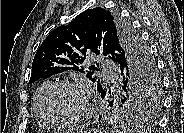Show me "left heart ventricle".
<instances>
[{"mask_svg":"<svg viewBox=\"0 0 184 133\" xmlns=\"http://www.w3.org/2000/svg\"><path fill=\"white\" fill-rule=\"evenodd\" d=\"M48 107L54 117L71 119L83 110V96L75 88L59 87L51 93Z\"/></svg>","mask_w":184,"mask_h":133,"instance_id":"left-heart-ventricle-1","label":"left heart ventricle"}]
</instances>
